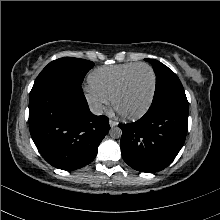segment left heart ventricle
<instances>
[{"label": "left heart ventricle", "instance_id": "1", "mask_svg": "<svg viewBox=\"0 0 220 220\" xmlns=\"http://www.w3.org/2000/svg\"><path fill=\"white\" fill-rule=\"evenodd\" d=\"M151 90L152 75L149 69L145 67L136 69L117 100L118 110L126 114L140 111L148 102Z\"/></svg>", "mask_w": 220, "mask_h": 220}]
</instances>
